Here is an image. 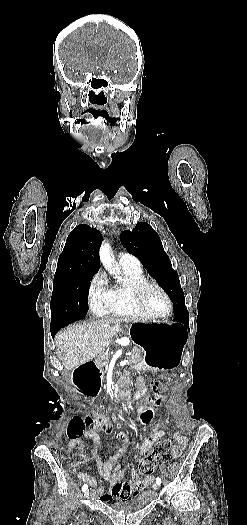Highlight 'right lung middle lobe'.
I'll return each mask as SVG.
<instances>
[{
  "instance_id": "1",
  "label": "right lung middle lobe",
  "mask_w": 247,
  "mask_h": 525,
  "mask_svg": "<svg viewBox=\"0 0 247 525\" xmlns=\"http://www.w3.org/2000/svg\"><path fill=\"white\" fill-rule=\"evenodd\" d=\"M94 274L85 271H56L50 302V327L65 326L86 316L88 288Z\"/></svg>"
}]
</instances>
